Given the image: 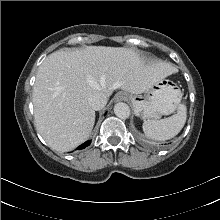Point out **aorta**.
<instances>
[{
    "instance_id": "obj_1",
    "label": "aorta",
    "mask_w": 220,
    "mask_h": 220,
    "mask_svg": "<svg viewBox=\"0 0 220 220\" xmlns=\"http://www.w3.org/2000/svg\"><path fill=\"white\" fill-rule=\"evenodd\" d=\"M114 113L120 119H127L130 116V108L126 103L119 102L114 106Z\"/></svg>"
}]
</instances>
